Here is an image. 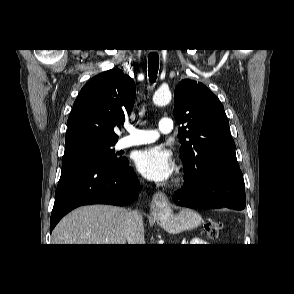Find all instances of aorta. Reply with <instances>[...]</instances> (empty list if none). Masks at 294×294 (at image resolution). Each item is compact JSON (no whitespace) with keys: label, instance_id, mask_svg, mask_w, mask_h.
Listing matches in <instances>:
<instances>
[{"label":"aorta","instance_id":"aorta-1","mask_svg":"<svg viewBox=\"0 0 294 294\" xmlns=\"http://www.w3.org/2000/svg\"><path fill=\"white\" fill-rule=\"evenodd\" d=\"M172 94L168 89H158L153 95V103L158 106H163L171 101Z\"/></svg>","mask_w":294,"mask_h":294}]
</instances>
